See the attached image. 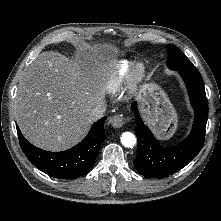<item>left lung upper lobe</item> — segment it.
Returning a JSON list of instances; mask_svg holds the SVG:
<instances>
[{"instance_id":"5c2ea615","label":"left lung upper lobe","mask_w":221,"mask_h":221,"mask_svg":"<svg viewBox=\"0 0 221 221\" xmlns=\"http://www.w3.org/2000/svg\"><path fill=\"white\" fill-rule=\"evenodd\" d=\"M167 65L173 70L195 67L192 62L172 44H168Z\"/></svg>"}]
</instances>
